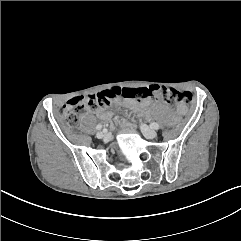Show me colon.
Listing matches in <instances>:
<instances>
[{
  "mask_svg": "<svg viewBox=\"0 0 241 241\" xmlns=\"http://www.w3.org/2000/svg\"><path fill=\"white\" fill-rule=\"evenodd\" d=\"M120 97L130 99L154 98L170 103H180L184 107L192 101V95L188 92H180L158 85L138 88L109 87L108 89L101 88L96 95H82L70 99L60 110V116L69 126H76L79 122V114L83 109L93 108L98 105H108L113 99ZM179 124V120L166 121L167 127Z\"/></svg>",
  "mask_w": 241,
  "mask_h": 241,
  "instance_id": "1",
  "label": "colon"
}]
</instances>
